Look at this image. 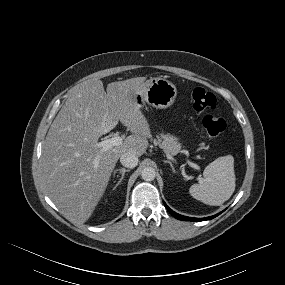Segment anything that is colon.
Listing matches in <instances>:
<instances>
[{
  "mask_svg": "<svg viewBox=\"0 0 285 285\" xmlns=\"http://www.w3.org/2000/svg\"><path fill=\"white\" fill-rule=\"evenodd\" d=\"M192 103L194 110L202 115V125L207 135L212 139L219 137L226 129V123L212 113L217 105L215 95L204 88H195Z\"/></svg>",
  "mask_w": 285,
  "mask_h": 285,
  "instance_id": "5ec220e1",
  "label": "colon"
}]
</instances>
